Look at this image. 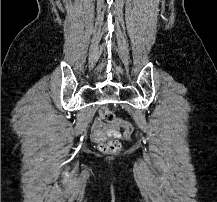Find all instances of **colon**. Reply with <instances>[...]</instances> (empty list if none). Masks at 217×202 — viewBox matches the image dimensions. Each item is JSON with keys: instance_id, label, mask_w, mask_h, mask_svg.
<instances>
[{"instance_id": "obj_1", "label": "colon", "mask_w": 217, "mask_h": 202, "mask_svg": "<svg viewBox=\"0 0 217 202\" xmlns=\"http://www.w3.org/2000/svg\"><path fill=\"white\" fill-rule=\"evenodd\" d=\"M100 116L104 121L110 123L112 126H122L123 128H125V130H123V138L126 141H131V134L134 131V128L131 127V123L125 121V118H117V122H112L111 117H114L115 115L109 110L108 107L100 108ZM120 141L121 140L118 138L117 140L104 142L101 144V150L107 154H116L121 148Z\"/></svg>"}]
</instances>
